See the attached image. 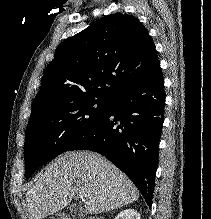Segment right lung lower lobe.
<instances>
[{
    "label": "right lung lower lobe",
    "mask_w": 211,
    "mask_h": 219,
    "mask_svg": "<svg viewBox=\"0 0 211 219\" xmlns=\"http://www.w3.org/2000/svg\"><path fill=\"white\" fill-rule=\"evenodd\" d=\"M164 105V79L158 62L145 77L113 96L99 123L68 151L104 155L127 174L151 208Z\"/></svg>",
    "instance_id": "obj_1"
}]
</instances>
